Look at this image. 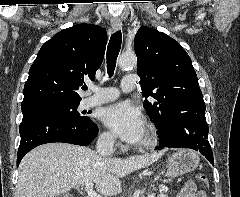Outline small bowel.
Segmentation results:
<instances>
[{
  "instance_id": "obj_1",
  "label": "small bowel",
  "mask_w": 240,
  "mask_h": 197,
  "mask_svg": "<svg viewBox=\"0 0 240 197\" xmlns=\"http://www.w3.org/2000/svg\"><path fill=\"white\" fill-rule=\"evenodd\" d=\"M177 197H207L204 191H197L193 183H186Z\"/></svg>"
}]
</instances>
